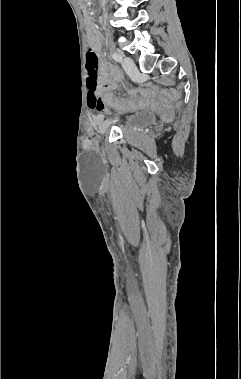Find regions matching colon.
<instances>
[{"instance_id": "5ec220e1", "label": "colon", "mask_w": 241, "mask_h": 379, "mask_svg": "<svg viewBox=\"0 0 241 379\" xmlns=\"http://www.w3.org/2000/svg\"><path fill=\"white\" fill-rule=\"evenodd\" d=\"M87 86L88 83H97L99 78V62L95 51L90 48L86 53ZM173 94L165 97H157L150 90H141L138 98H122L120 92L115 93L114 87H108L102 94V100L106 103H121L127 109H159L161 114L169 118L173 115ZM176 102V101H175Z\"/></svg>"}]
</instances>
